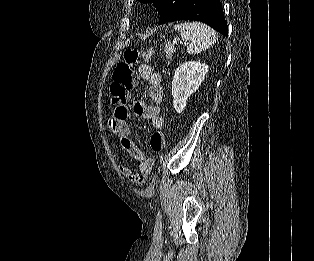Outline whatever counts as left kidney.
Returning a JSON list of instances; mask_svg holds the SVG:
<instances>
[{
    "mask_svg": "<svg viewBox=\"0 0 314 261\" xmlns=\"http://www.w3.org/2000/svg\"><path fill=\"white\" fill-rule=\"evenodd\" d=\"M208 68L205 63L188 61L176 69L172 80V96L177 113L183 112L188 98L198 90Z\"/></svg>",
    "mask_w": 314,
    "mask_h": 261,
    "instance_id": "5707ae66",
    "label": "left kidney"
}]
</instances>
